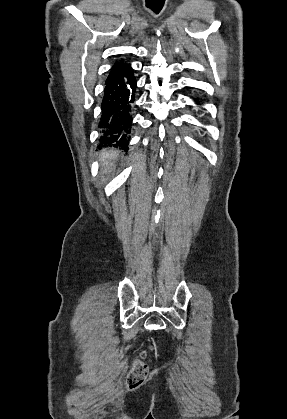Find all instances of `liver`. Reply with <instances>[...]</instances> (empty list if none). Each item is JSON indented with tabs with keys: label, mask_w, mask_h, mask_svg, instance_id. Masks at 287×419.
<instances>
[{
	"label": "liver",
	"mask_w": 287,
	"mask_h": 419,
	"mask_svg": "<svg viewBox=\"0 0 287 419\" xmlns=\"http://www.w3.org/2000/svg\"><path fill=\"white\" fill-rule=\"evenodd\" d=\"M118 152L115 150H107L100 153L101 160V182L106 183L109 180L110 174L113 172V160L117 159Z\"/></svg>",
	"instance_id": "1"
}]
</instances>
